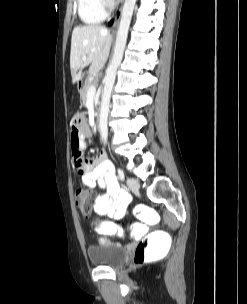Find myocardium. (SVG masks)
Segmentation results:
<instances>
[{
    "label": "myocardium",
    "mask_w": 247,
    "mask_h": 304,
    "mask_svg": "<svg viewBox=\"0 0 247 304\" xmlns=\"http://www.w3.org/2000/svg\"><path fill=\"white\" fill-rule=\"evenodd\" d=\"M102 6L105 10V12L107 13L110 9V6L107 4V0H101Z\"/></svg>",
    "instance_id": "1"
}]
</instances>
